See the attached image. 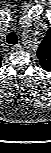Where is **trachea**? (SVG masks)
Here are the masks:
<instances>
[{
  "mask_svg": "<svg viewBox=\"0 0 51 153\" xmlns=\"http://www.w3.org/2000/svg\"><path fill=\"white\" fill-rule=\"evenodd\" d=\"M6 41L9 45H15L18 43V37L15 32H11L7 35Z\"/></svg>",
  "mask_w": 51,
  "mask_h": 153,
  "instance_id": "1",
  "label": "trachea"
}]
</instances>
